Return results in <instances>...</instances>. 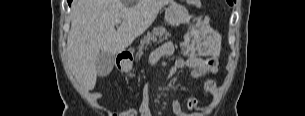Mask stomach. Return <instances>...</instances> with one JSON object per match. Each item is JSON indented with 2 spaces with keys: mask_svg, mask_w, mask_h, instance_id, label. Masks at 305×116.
Masks as SVG:
<instances>
[{
  "mask_svg": "<svg viewBox=\"0 0 305 116\" xmlns=\"http://www.w3.org/2000/svg\"><path fill=\"white\" fill-rule=\"evenodd\" d=\"M188 18L187 9L175 2L171 3L165 10V21L172 26H178L186 22ZM131 68L132 63L130 61H125L121 64L122 71H129Z\"/></svg>",
  "mask_w": 305,
  "mask_h": 116,
  "instance_id": "1",
  "label": "stomach"
}]
</instances>
